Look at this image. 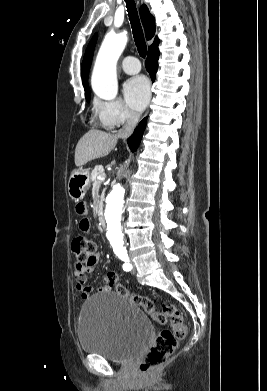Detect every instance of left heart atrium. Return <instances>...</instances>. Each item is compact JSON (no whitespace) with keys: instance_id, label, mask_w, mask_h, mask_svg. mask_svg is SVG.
Masks as SVG:
<instances>
[{"instance_id":"obj_1","label":"left heart atrium","mask_w":267,"mask_h":391,"mask_svg":"<svg viewBox=\"0 0 267 391\" xmlns=\"http://www.w3.org/2000/svg\"><path fill=\"white\" fill-rule=\"evenodd\" d=\"M124 96L128 105L135 111H142L150 98V85L143 76L128 80L124 86Z\"/></svg>"}]
</instances>
